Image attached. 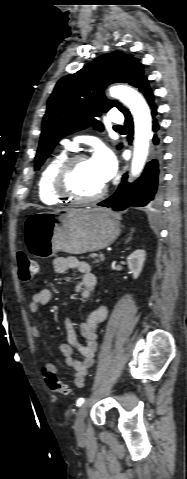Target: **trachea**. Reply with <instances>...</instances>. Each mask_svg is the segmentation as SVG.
Returning a JSON list of instances; mask_svg holds the SVG:
<instances>
[{
	"mask_svg": "<svg viewBox=\"0 0 187 479\" xmlns=\"http://www.w3.org/2000/svg\"><path fill=\"white\" fill-rule=\"evenodd\" d=\"M121 128H123V127L122 126L115 127V129H121Z\"/></svg>",
	"mask_w": 187,
	"mask_h": 479,
	"instance_id": "1",
	"label": "trachea"
}]
</instances>
